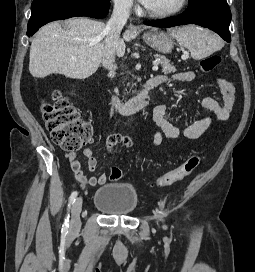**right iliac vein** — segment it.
<instances>
[{
	"instance_id": "obj_1",
	"label": "right iliac vein",
	"mask_w": 255,
	"mask_h": 272,
	"mask_svg": "<svg viewBox=\"0 0 255 272\" xmlns=\"http://www.w3.org/2000/svg\"><path fill=\"white\" fill-rule=\"evenodd\" d=\"M82 202H83L82 197H79L73 205L71 211V224H70L71 233H76L80 229L81 226L80 213L82 210Z\"/></svg>"
}]
</instances>
